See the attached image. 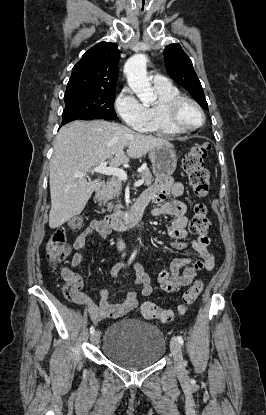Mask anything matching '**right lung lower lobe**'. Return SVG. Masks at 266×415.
I'll return each instance as SVG.
<instances>
[{
  "label": "right lung lower lobe",
  "mask_w": 266,
  "mask_h": 415,
  "mask_svg": "<svg viewBox=\"0 0 266 415\" xmlns=\"http://www.w3.org/2000/svg\"><path fill=\"white\" fill-rule=\"evenodd\" d=\"M71 121H73V120H63L61 125H64V124H66L68 122H71Z\"/></svg>",
  "instance_id": "right-lung-lower-lobe-1"
}]
</instances>
